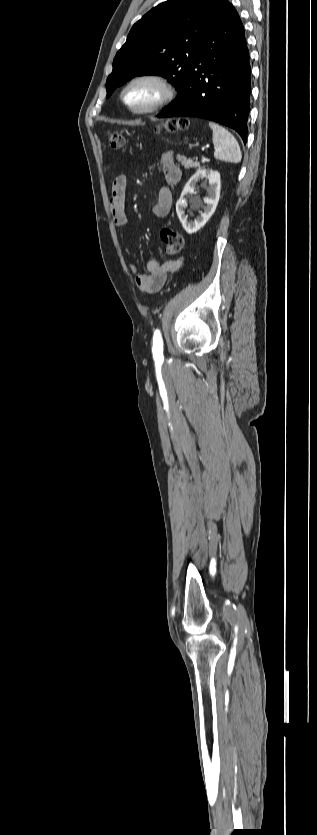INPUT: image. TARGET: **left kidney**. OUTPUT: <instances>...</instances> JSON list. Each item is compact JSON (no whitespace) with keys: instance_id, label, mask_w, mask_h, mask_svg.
<instances>
[{"instance_id":"1","label":"left kidney","mask_w":317,"mask_h":835,"mask_svg":"<svg viewBox=\"0 0 317 835\" xmlns=\"http://www.w3.org/2000/svg\"><path fill=\"white\" fill-rule=\"evenodd\" d=\"M202 179L209 182L207 196L203 199L205 205H194L193 207L196 209L202 207L203 211L199 212L200 215L194 221H188V216L185 214V209L187 207V200L185 199V196L189 192L193 191L197 183ZM220 190V174L216 170L200 169L189 179L176 203L177 216L187 233L192 234L197 232L211 218L219 202Z\"/></svg>"}]
</instances>
